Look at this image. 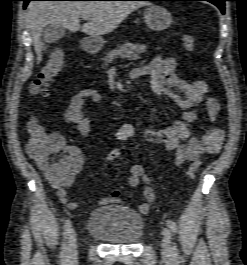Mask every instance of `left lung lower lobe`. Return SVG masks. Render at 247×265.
<instances>
[{"label": "left lung lower lobe", "instance_id": "1", "mask_svg": "<svg viewBox=\"0 0 247 265\" xmlns=\"http://www.w3.org/2000/svg\"><path fill=\"white\" fill-rule=\"evenodd\" d=\"M147 1H202V0H147ZM216 5L224 13V2L227 0H205Z\"/></svg>", "mask_w": 247, "mask_h": 265}]
</instances>
